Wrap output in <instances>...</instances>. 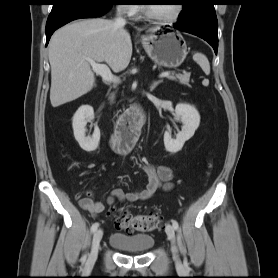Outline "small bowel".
Returning a JSON list of instances; mask_svg holds the SVG:
<instances>
[{
	"label": "small bowel",
	"mask_w": 278,
	"mask_h": 278,
	"mask_svg": "<svg viewBox=\"0 0 278 278\" xmlns=\"http://www.w3.org/2000/svg\"><path fill=\"white\" fill-rule=\"evenodd\" d=\"M129 150L130 149L127 151ZM142 168L148 177V183L146 187L144 189H137L129 192H124L119 188L114 189L108 198L109 205L113 204L116 200L120 202L146 200L152 197L159 189L168 190L172 187L171 181L173 178V173L169 167L159 166L155 169L149 164H144ZM79 205L81 208L95 216L101 214L105 209L104 203L95 199L93 193H89L87 197L81 198L79 200Z\"/></svg>",
	"instance_id": "1"
}]
</instances>
